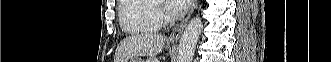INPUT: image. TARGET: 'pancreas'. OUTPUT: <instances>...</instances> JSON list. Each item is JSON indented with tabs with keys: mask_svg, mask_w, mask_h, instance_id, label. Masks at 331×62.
<instances>
[{
	"mask_svg": "<svg viewBox=\"0 0 331 62\" xmlns=\"http://www.w3.org/2000/svg\"><path fill=\"white\" fill-rule=\"evenodd\" d=\"M146 62H157V60L154 57H150L148 60H146Z\"/></svg>",
	"mask_w": 331,
	"mask_h": 62,
	"instance_id": "pancreas-1",
	"label": "pancreas"
}]
</instances>
